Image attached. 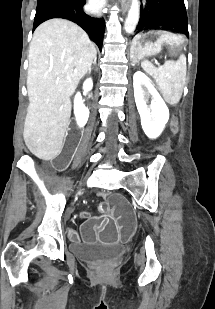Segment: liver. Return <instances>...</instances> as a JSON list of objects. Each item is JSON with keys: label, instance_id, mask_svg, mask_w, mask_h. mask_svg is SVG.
Segmentation results:
<instances>
[{"label": "liver", "instance_id": "obj_1", "mask_svg": "<svg viewBox=\"0 0 215 309\" xmlns=\"http://www.w3.org/2000/svg\"><path fill=\"white\" fill-rule=\"evenodd\" d=\"M96 54L87 32L71 20L50 18L37 26L28 54L23 138L38 159L60 155L71 116L70 96Z\"/></svg>", "mask_w": 215, "mask_h": 309}]
</instances>
